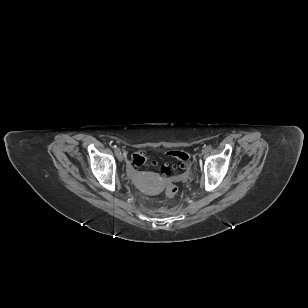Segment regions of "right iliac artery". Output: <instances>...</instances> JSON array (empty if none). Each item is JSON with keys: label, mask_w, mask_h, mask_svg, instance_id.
I'll use <instances>...</instances> for the list:
<instances>
[{"label": "right iliac artery", "mask_w": 308, "mask_h": 308, "mask_svg": "<svg viewBox=\"0 0 308 308\" xmlns=\"http://www.w3.org/2000/svg\"><path fill=\"white\" fill-rule=\"evenodd\" d=\"M114 147V149H115V153L117 152V151H119V149L117 148V146H113Z\"/></svg>", "instance_id": "obj_1"}]
</instances>
